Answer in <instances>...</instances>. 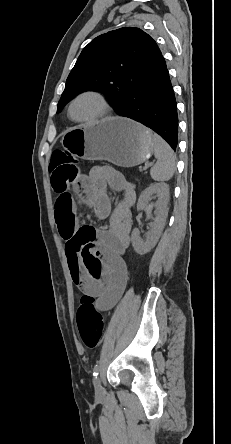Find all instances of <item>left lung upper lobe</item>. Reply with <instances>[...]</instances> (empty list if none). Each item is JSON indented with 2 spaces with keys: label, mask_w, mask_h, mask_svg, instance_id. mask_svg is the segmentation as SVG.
<instances>
[{
  "label": "left lung upper lobe",
  "mask_w": 231,
  "mask_h": 444,
  "mask_svg": "<svg viewBox=\"0 0 231 444\" xmlns=\"http://www.w3.org/2000/svg\"><path fill=\"white\" fill-rule=\"evenodd\" d=\"M160 52L145 31L126 27L93 39L81 52L70 72L57 112L84 91H100L109 96L119 112L127 103L138 76Z\"/></svg>",
  "instance_id": "5c2ea615"
}]
</instances>
